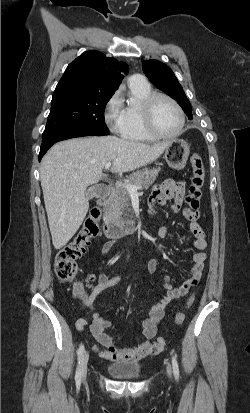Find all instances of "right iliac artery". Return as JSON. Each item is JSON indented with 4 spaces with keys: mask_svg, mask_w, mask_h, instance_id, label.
<instances>
[{
    "mask_svg": "<svg viewBox=\"0 0 250 413\" xmlns=\"http://www.w3.org/2000/svg\"><path fill=\"white\" fill-rule=\"evenodd\" d=\"M83 352H84V345L81 344L79 346L78 350H77L79 364H80V360H81V356H82ZM80 380H81V371H80V367L78 366L77 371H76V375H75V381L77 383H80Z\"/></svg>",
    "mask_w": 250,
    "mask_h": 413,
    "instance_id": "right-iliac-artery-1",
    "label": "right iliac artery"
}]
</instances>
